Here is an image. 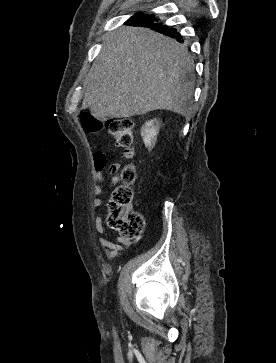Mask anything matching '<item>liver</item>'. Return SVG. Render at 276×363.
Instances as JSON below:
<instances>
[{
    "instance_id": "obj_1",
    "label": "liver",
    "mask_w": 276,
    "mask_h": 363,
    "mask_svg": "<svg viewBox=\"0 0 276 363\" xmlns=\"http://www.w3.org/2000/svg\"><path fill=\"white\" fill-rule=\"evenodd\" d=\"M194 61L187 48L148 28L122 27L106 37L85 87L82 109L96 119L158 109L190 117Z\"/></svg>"
}]
</instances>
